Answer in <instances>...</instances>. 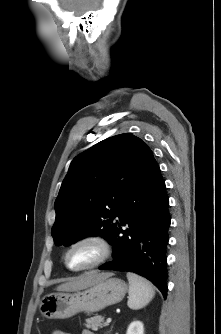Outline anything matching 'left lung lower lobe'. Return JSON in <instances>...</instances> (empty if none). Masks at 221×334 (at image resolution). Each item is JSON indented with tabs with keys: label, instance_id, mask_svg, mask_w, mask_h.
<instances>
[{
	"label": "left lung lower lobe",
	"instance_id": "left-lung-lower-lobe-1",
	"mask_svg": "<svg viewBox=\"0 0 221 334\" xmlns=\"http://www.w3.org/2000/svg\"><path fill=\"white\" fill-rule=\"evenodd\" d=\"M168 205L165 182L154 159L125 197L109 242L114 259L99 269L142 275L166 298ZM126 224L128 228L123 230L121 226Z\"/></svg>",
	"mask_w": 221,
	"mask_h": 334
}]
</instances>
